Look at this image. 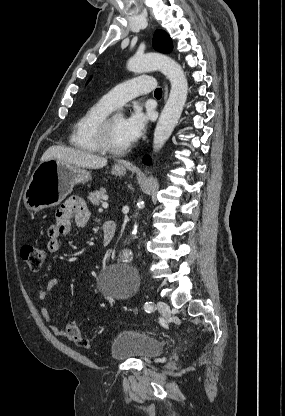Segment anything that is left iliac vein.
<instances>
[{"mask_svg":"<svg viewBox=\"0 0 285 416\" xmlns=\"http://www.w3.org/2000/svg\"><path fill=\"white\" fill-rule=\"evenodd\" d=\"M157 307L159 311L162 313L164 317H168L170 314V308L168 304L165 301L158 300L157 301Z\"/></svg>","mask_w":285,"mask_h":416,"instance_id":"4c4485c4","label":"left iliac vein"}]
</instances>
